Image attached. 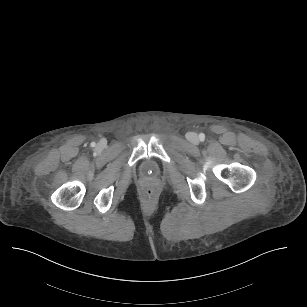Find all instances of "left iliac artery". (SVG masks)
I'll return each mask as SVG.
<instances>
[{
	"label": "left iliac artery",
	"instance_id": "1",
	"mask_svg": "<svg viewBox=\"0 0 307 307\" xmlns=\"http://www.w3.org/2000/svg\"><path fill=\"white\" fill-rule=\"evenodd\" d=\"M199 138H200L201 141H204V140H205V135L201 133V134L199 135Z\"/></svg>",
	"mask_w": 307,
	"mask_h": 307
}]
</instances>
